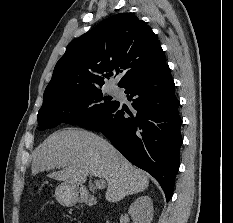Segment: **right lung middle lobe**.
<instances>
[{
	"mask_svg": "<svg viewBox=\"0 0 233 223\" xmlns=\"http://www.w3.org/2000/svg\"><path fill=\"white\" fill-rule=\"evenodd\" d=\"M117 101L103 97L101 88H94L69 95L57 101L44 104L38 112L39 130L54 128L62 123L88 124L102 111L115 106Z\"/></svg>",
	"mask_w": 233,
	"mask_h": 223,
	"instance_id": "1",
	"label": "right lung middle lobe"
}]
</instances>
